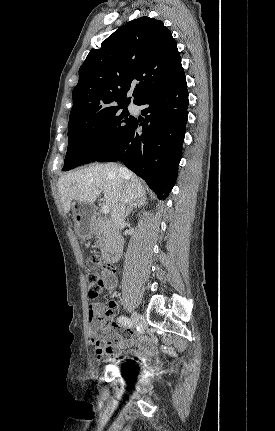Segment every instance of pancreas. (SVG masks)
I'll list each match as a JSON object with an SVG mask.
<instances>
[{
  "label": "pancreas",
  "instance_id": "cf45deb5",
  "mask_svg": "<svg viewBox=\"0 0 275 431\" xmlns=\"http://www.w3.org/2000/svg\"><path fill=\"white\" fill-rule=\"evenodd\" d=\"M110 237V234L103 230L101 226H99V235H98V241L97 246L99 248H103L106 245L107 239Z\"/></svg>",
  "mask_w": 275,
  "mask_h": 431
}]
</instances>
